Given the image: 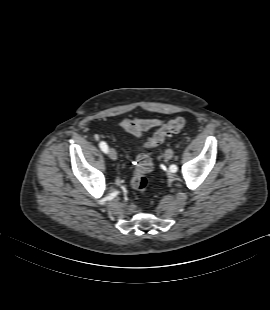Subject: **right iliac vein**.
I'll return each instance as SVG.
<instances>
[{"mask_svg": "<svg viewBox=\"0 0 270 310\" xmlns=\"http://www.w3.org/2000/svg\"><path fill=\"white\" fill-rule=\"evenodd\" d=\"M108 156L112 159V160H116L117 159V153L114 149H109L108 151Z\"/></svg>", "mask_w": 270, "mask_h": 310, "instance_id": "right-iliac-vein-1", "label": "right iliac vein"}]
</instances>
